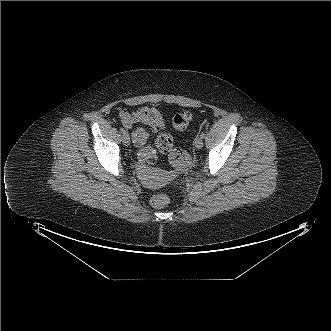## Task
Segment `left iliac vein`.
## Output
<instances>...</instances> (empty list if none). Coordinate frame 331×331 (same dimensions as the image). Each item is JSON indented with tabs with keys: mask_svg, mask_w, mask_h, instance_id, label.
Here are the masks:
<instances>
[{
	"mask_svg": "<svg viewBox=\"0 0 331 331\" xmlns=\"http://www.w3.org/2000/svg\"><path fill=\"white\" fill-rule=\"evenodd\" d=\"M194 144L197 149H201L203 147V138L197 136L194 140Z\"/></svg>",
	"mask_w": 331,
	"mask_h": 331,
	"instance_id": "left-iliac-vein-1",
	"label": "left iliac vein"
}]
</instances>
